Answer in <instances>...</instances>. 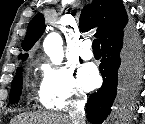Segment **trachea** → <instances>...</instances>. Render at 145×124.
Here are the masks:
<instances>
[{
	"label": "trachea",
	"instance_id": "trachea-1",
	"mask_svg": "<svg viewBox=\"0 0 145 124\" xmlns=\"http://www.w3.org/2000/svg\"><path fill=\"white\" fill-rule=\"evenodd\" d=\"M93 51H100V44L98 39L93 40V45H92Z\"/></svg>",
	"mask_w": 145,
	"mask_h": 124
}]
</instances>
